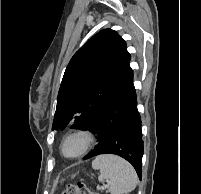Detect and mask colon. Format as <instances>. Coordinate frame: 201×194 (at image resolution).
<instances>
[{
	"instance_id": "obj_1",
	"label": "colon",
	"mask_w": 201,
	"mask_h": 194,
	"mask_svg": "<svg viewBox=\"0 0 201 194\" xmlns=\"http://www.w3.org/2000/svg\"><path fill=\"white\" fill-rule=\"evenodd\" d=\"M62 194H98L91 191L85 184L78 183L68 186Z\"/></svg>"
}]
</instances>
